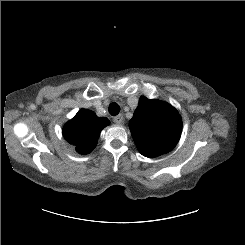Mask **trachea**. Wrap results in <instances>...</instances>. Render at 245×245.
<instances>
[{
	"label": "trachea",
	"instance_id": "trachea-1",
	"mask_svg": "<svg viewBox=\"0 0 245 245\" xmlns=\"http://www.w3.org/2000/svg\"><path fill=\"white\" fill-rule=\"evenodd\" d=\"M119 112H120V106H119L117 103L112 102V103L109 105V113H110L112 116H116Z\"/></svg>",
	"mask_w": 245,
	"mask_h": 245
}]
</instances>
